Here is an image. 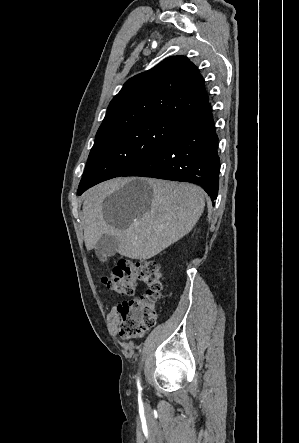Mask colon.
I'll use <instances>...</instances> for the list:
<instances>
[{
	"label": "colon",
	"mask_w": 299,
	"mask_h": 443,
	"mask_svg": "<svg viewBox=\"0 0 299 443\" xmlns=\"http://www.w3.org/2000/svg\"><path fill=\"white\" fill-rule=\"evenodd\" d=\"M102 281L119 295H133L138 282L147 285L144 295L118 305L119 335L123 340L142 337L158 319L155 303L163 289L159 264L153 260H121Z\"/></svg>",
	"instance_id": "obj_1"
}]
</instances>
